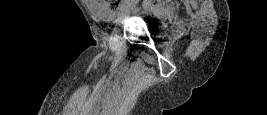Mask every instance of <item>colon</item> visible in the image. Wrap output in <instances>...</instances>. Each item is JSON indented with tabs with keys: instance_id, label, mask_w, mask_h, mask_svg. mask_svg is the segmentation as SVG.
Returning a JSON list of instances; mask_svg holds the SVG:
<instances>
[{
	"instance_id": "5ec220e1",
	"label": "colon",
	"mask_w": 267,
	"mask_h": 115,
	"mask_svg": "<svg viewBox=\"0 0 267 115\" xmlns=\"http://www.w3.org/2000/svg\"><path fill=\"white\" fill-rule=\"evenodd\" d=\"M124 0H102L101 2L111 10H116ZM159 4V0H146V6H155Z\"/></svg>"
}]
</instances>
